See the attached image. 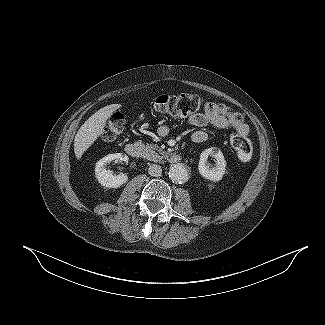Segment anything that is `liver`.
<instances>
[{"label":"liver","mask_w":325,"mask_h":325,"mask_svg":"<svg viewBox=\"0 0 325 325\" xmlns=\"http://www.w3.org/2000/svg\"><path fill=\"white\" fill-rule=\"evenodd\" d=\"M120 107L121 104L107 105L91 115L80 127L74 139V153L77 159H80L104 132L107 120Z\"/></svg>","instance_id":"6515ba94"}]
</instances>
